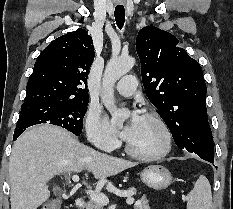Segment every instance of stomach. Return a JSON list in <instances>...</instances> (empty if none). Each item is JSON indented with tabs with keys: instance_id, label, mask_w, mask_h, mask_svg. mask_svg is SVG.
I'll use <instances>...</instances> for the list:
<instances>
[{
	"instance_id": "stomach-1",
	"label": "stomach",
	"mask_w": 233,
	"mask_h": 209,
	"mask_svg": "<svg viewBox=\"0 0 233 209\" xmlns=\"http://www.w3.org/2000/svg\"><path fill=\"white\" fill-rule=\"evenodd\" d=\"M141 180L155 190L167 188L172 183L171 172L162 165H151L140 173Z\"/></svg>"
}]
</instances>
